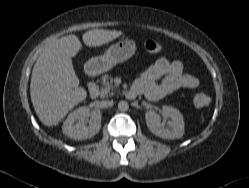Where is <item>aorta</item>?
<instances>
[{
	"instance_id": "1",
	"label": "aorta",
	"mask_w": 249,
	"mask_h": 188,
	"mask_svg": "<svg viewBox=\"0 0 249 188\" xmlns=\"http://www.w3.org/2000/svg\"><path fill=\"white\" fill-rule=\"evenodd\" d=\"M118 109L120 111H127L129 109V105H128V103L126 101H120L118 103Z\"/></svg>"
}]
</instances>
